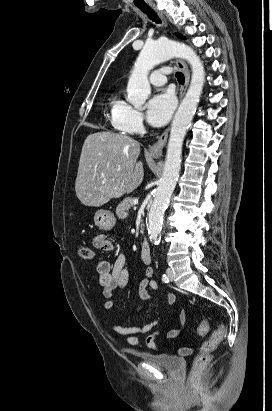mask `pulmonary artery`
<instances>
[{
  "instance_id": "1",
  "label": "pulmonary artery",
  "mask_w": 272,
  "mask_h": 411,
  "mask_svg": "<svg viewBox=\"0 0 272 411\" xmlns=\"http://www.w3.org/2000/svg\"><path fill=\"white\" fill-rule=\"evenodd\" d=\"M166 74L167 72L164 70L155 71L150 75V82L154 86H163L166 81Z\"/></svg>"
}]
</instances>
